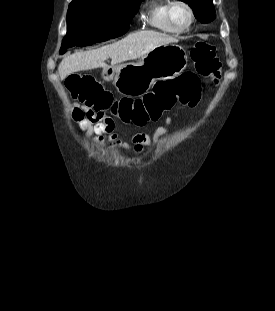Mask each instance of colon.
Wrapping results in <instances>:
<instances>
[{
	"label": "colon",
	"mask_w": 275,
	"mask_h": 311,
	"mask_svg": "<svg viewBox=\"0 0 275 311\" xmlns=\"http://www.w3.org/2000/svg\"><path fill=\"white\" fill-rule=\"evenodd\" d=\"M196 74L186 72L179 77L158 82L143 98L115 99L102 84L87 74H72L66 79V86L73 100L103 113L111 110L127 125L136 124L137 129H148L149 121H160L163 112L176 104L195 106L200 97L202 77L219 75L221 63L216 55V47L207 42H197L191 50Z\"/></svg>",
	"instance_id": "obj_1"
}]
</instances>
